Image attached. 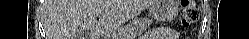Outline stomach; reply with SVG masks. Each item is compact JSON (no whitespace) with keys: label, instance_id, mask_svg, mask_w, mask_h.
<instances>
[{"label":"stomach","instance_id":"obj_1","mask_svg":"<svg viewBox=\"0 0 249 39\" xmlns=\"http://www.w3.org/2000/svg\"><path fill=\"white\" fill-rule=\"evenodd\" d=\"M150 15L153 19L161 22H168L176 15V5L174 0H157L150 7ZM110 39H114L111 37Z\"/></svg>","mask_w":249,"mask_h":39}]
</instances>
